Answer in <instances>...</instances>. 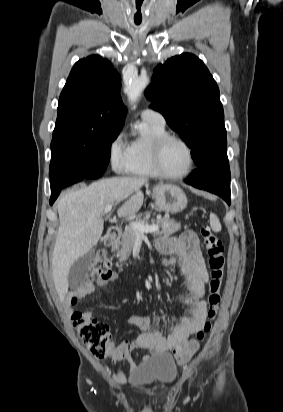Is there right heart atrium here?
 I'll return each instance as SVG.
<instances>
[{
  "label": "right heart atrium",
  "instance_id": "obj_1",
  "mask_svg": "<svg viewBox=\"0 0 283 412\" xmlns=\"http://www.w3.org/2000/svg\"><path fill=\"white\" fill-rule=\"evenodd\" d=\"M128 145L125 142L124 134L119 132L110 142L109 158L114 170L121 172L125 168L127 161Z\"/></svg>",
  "mask_w": 283,
  "mask_h": 412
}]
</instances>
